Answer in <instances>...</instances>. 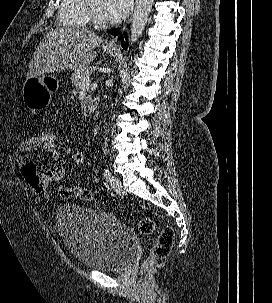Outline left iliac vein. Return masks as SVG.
<instances>
[{
    "instance_id": "obj_1",
    "label": "left iliac vein",
    "mask_w": 272,
    "mask_h": 303,
    "mask_svg": "<svg viewBox=\"0 0 272 303\" xmlns=\"http://www.w3.org/2000/svg\"><path fill=\"white\" fill-rule=\"evenodd\" d=\"M109 184L118 195H125L126 190L123 187L121 180L116 176H110Z\"/></svg>"
}]
</instances>
